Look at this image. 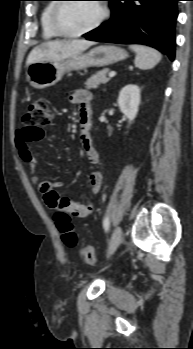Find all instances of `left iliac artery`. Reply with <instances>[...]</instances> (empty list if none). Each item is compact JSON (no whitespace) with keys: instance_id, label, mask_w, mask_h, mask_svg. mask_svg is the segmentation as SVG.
<instances>
[{"instance_id":"obj_1","label":"left iliac artery","mask_w":193,"mask_h":349,"mask_svg":"<svg viewBox=\"0 0 193 349\" xmlns=\"http://www.w3.org/2000/svg\"><path fill=\"white\" fill-rule=\"evenodd\" d=\"M109 225H110V220H109V217L106 216L103 220V227H104L105 231L109 230Z\"/></svg>"}]
</instances>
